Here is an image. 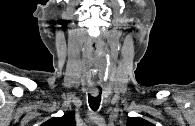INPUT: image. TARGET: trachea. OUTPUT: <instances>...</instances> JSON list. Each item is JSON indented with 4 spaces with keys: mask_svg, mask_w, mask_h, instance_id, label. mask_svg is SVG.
Masks as SVG:
<instances>
[{
    "mask_svg": "<svg viewBox=\"0 0 195 126\" xmlns=\"http://www.w3.org/2000/svg\"><path fill=\"white\" fill-rule=\"evenodd\" d=\"M88 102H89V106L92 110H97L100 106V102H101V89L100 92L97 96H92L89 94L88 96Z\"/></svg>",
    "mask_w": 195,
    "mask_h": 126,
    "instance_id": "3493384b",
    "label": "trachea"
}]
</instances>
